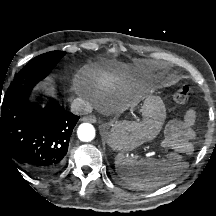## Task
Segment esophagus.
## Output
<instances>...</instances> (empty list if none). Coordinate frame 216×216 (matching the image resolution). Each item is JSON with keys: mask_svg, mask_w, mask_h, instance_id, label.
Segmentation results:
<instances>
[{"mask_svg": "<svg viewBox=\"0 0 216 216\" xmlns=\"http://www.w3.org/2000/svg\"><path fill=\"white\" fill-rule=\"evenodd\" d=\"M82 120L90 122V123H95L97 121V118L94 115H89V116L83 117Z\"/></svg>", "mask_w": 216, "mask_h": 216, "instance_id": "obj_1", "label": "esophagus"}]
</instances>
